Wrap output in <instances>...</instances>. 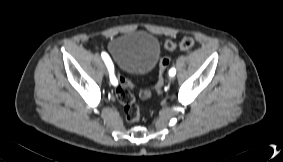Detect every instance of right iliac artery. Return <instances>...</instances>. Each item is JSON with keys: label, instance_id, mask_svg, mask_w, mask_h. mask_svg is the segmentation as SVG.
I'll use <instances>...</instances> for the list:
<instances>
[{"label": "right iliac artery", "instance_id": "right-iliac-artery-1", "mask_svg": "<svg viewBox=\"0 0 283 162\" xmlns=\"http://www.w3.org/2000/svg\"><path fill=\"white\" fill-rule=\"evenodd\" d=\"M107 68H108V71L110 73V81L113 85L117 84V80L114 76V66H113V63L109 57V55L106 53V52H102L101 54Z\"/></svg>", "mask_w": 283, "mask_h": 162}]
</instances>
